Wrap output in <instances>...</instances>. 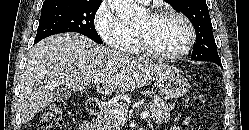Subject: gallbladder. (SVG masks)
<instances>
[{
	"instance_id": "bac80fb5",
	"label": "gallbladder",
	"mask_w": 249,
	"mask_h": 130,
	"mask_svg": "<svg viewBox=\"0 0 249 130\" xmlns=\"http://www.w3.org/2000/svg\"><path fill=\"white\" fill-rule=\"evenodd\" d=\"M55 95L62 97H69L71 93L63 87H58L55 91Z\"/></svg>"
}]
</instances>
